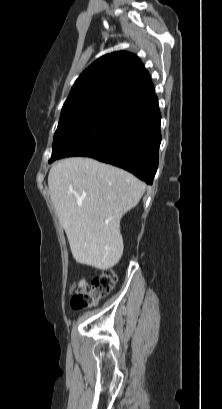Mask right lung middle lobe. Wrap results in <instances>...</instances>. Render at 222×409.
Segmentation results:
<instances>
[{
    "label": "right lung middle lobe",
    "mask_w": 222,
    "mask_h": 409,
    "mask_svg": "<svg viewBox=\"0 0 222 409\" xmlns=\"http://www.w3.org/2000/svg\"><path fill=\"white\" fill-rule=\"evenodd\" d=\"M125 107L95 104L62 110L49 163L69 156H86L103 141L113 119Z\"/></svg>",
    "instance_id": "obj_1"
}]
</instances>
